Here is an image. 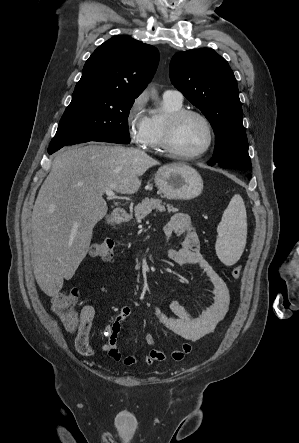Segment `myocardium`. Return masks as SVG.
<instances>
[{"label": "myocardium", "mask_w": 299, "mask_h": 443, "mask_svg": "<svg viewBox=\"0 0 299 443\" xmlns=\"http://www.w3.org/2000/svg\"><path fill=\"white\" fill-rule=\"evenodd\" d=\"M198 117L206 126L208 138L205 146L196 153H182L173 145V138L178 124L185 117ZM214 142V129L210 120L201 112L192 109H180L168 114L164 121L161 145L162 149L172 157L184 160H193L204 156L212 147Z\"/></svg>", "instance_id": "f54148a6"}]
</instances>
